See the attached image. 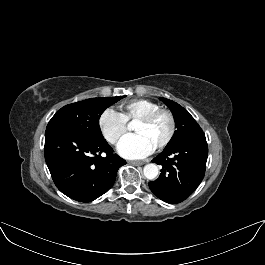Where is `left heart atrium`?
Masks as SVG:
<instances>
[{
	"mask_svg": "<svg viewBox=\"0 0 265 265\" xmlns=\"http://www.w3.org/2000/svg\"><path fill=\"white\" fill-rule=\"evenodd\" d=\"M152 151L151 144L140 134L126 136L118 146V153L127 159H140Z\"/></svg>",
	"mask_w": 265,
	"mask_h": 265,
	"instance_id": "left-heart-atrium-1",
	"label": "left heart atrium"
}]
</instances>
